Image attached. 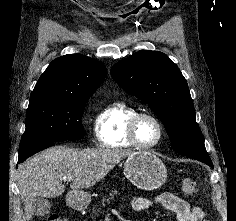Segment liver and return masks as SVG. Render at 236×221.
I'll list each match as a JSON object with an SVG mask.
<instances>
[{
    "label": "liver",
    "mask_w": 236,
    "mask_h": 221,
    "mask_svg": "<svg viewBox=\"0 0 236 221\" xmlns=\"http://www.w3.org/2000/svg\"><path fill=\"white\" fill-rule=\"evenodd\" d=\"M131 150L119 148L52 147L26 160L18 168V188L27 221L34 215L37 197L53 198L65 191L64 178L72 177L70 192L90 188L103 179Z\"/></svg>",
    "instance_id": "6515ba94"
}]
</instances>
